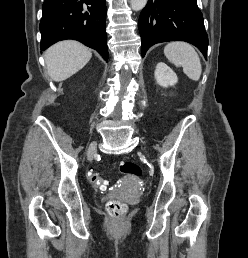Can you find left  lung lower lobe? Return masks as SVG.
<instances>
[{"mask_svg": "<svg viewBox=\"0 0 248 258\" xmlns=\"http://www.w3.org/2000/svg\"><path fill=\"white\" fill-rule=\"evenodd\" d=\"M142 57L154 44L186 41L207 59L208 36L196 0H148L139 17Z\"/></svg>", "mask_w": 248, "mask_h": 258, "instance_id": "left-lung-lower-lobe-1", "label": "left lung lower lobe"}]
</instances>
